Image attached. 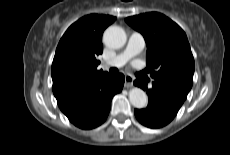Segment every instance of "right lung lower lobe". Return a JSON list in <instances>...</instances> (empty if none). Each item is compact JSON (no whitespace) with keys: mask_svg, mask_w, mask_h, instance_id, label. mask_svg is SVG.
Wrapping results in <instances>:
<instances>
[{"mask_svg":"<svg viewBox=\"0 0 230 155\" xmlns=\"http://www.w3.org/2000/svg\"><path fill=\"white\" fill-rule=\"evenodd\" d=\"M124 75L106 74L73 93L56 97L61 111L75 126L92 129L107 118L113 96L122 91Z\"/></svg>","mask_w":230,"mask_h":155,"instance_id":"obj_1","label":"right lung lower lobe"}]
</instances>
